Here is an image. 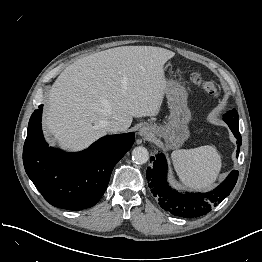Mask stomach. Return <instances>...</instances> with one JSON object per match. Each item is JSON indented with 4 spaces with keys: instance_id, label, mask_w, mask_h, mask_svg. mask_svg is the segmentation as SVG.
Returning a JSON list of instances; mask_svg holds the SVG:
<instances>
[{
    "instance_id": "stomach-1",
    "label": "stomach",
    "mask_w": 262,
    "mask_h": 262,
    "mask_svg": "<svg viewBox=\"0 0 262 262\" xmlns=\"http://www.w3.org/2000/svg\"><path fill=\"white\" fill-rule=\"evenodd\" d=\"M165 95L170 108L168 122L164 125L154 124L152 129L157 136L164 138L167 149H176L189 138L191 112L187 106L188 93L180 83L166 80Z\"/></svg>"
}]
</instances>
